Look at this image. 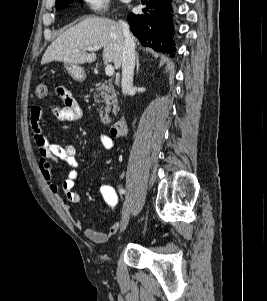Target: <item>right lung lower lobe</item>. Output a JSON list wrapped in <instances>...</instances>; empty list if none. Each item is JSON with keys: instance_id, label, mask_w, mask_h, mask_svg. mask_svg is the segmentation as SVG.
Segmentation results:
<instances>
[{"instance_id": "right-lung-lower-lobe-1", "label": "right lung lower lobe", "mask_w": 267, "mask_h": 301, "mask_svg": "<svg viewBox=\"0 0 267 301\" xmlns=\"http://www.w3.org/2000/svg\"><path fill=\"white\" fill-rule=\"evenodd\" d=\"M145 8L142 14L127 16L130 29L144 46L173 56L174 35L172 0H141Z\"/></svg>"}]
</instances>
